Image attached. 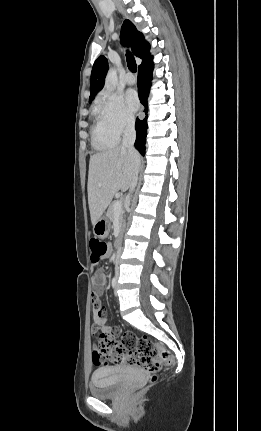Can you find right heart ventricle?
<instances>
[{
    "mask_svg": "<svg viewBox=\"0 0 261 431\" xmlns=\"http://www.w3.org/2000/svg\"><path fill=\"white\" fill-rule=\"evenodd\" d=\"M119 141V137L113 134L105 124L103 116L98 109H94V124L92 128V142L98 150H108L114 148Z\"/></svg>",
    "mask_w": 261,
    "mask_h": 431,
    "instance_id": "e07e8e85",
    "label": "right heart ventricle"
}]
</instances>
